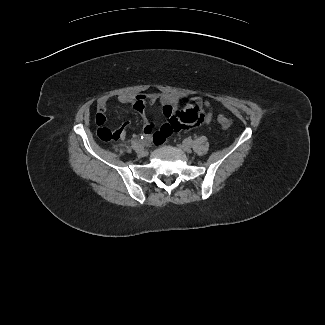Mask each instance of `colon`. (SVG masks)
I'll return each instance as SVG.
<instances>
[{
  "mask_svg": "<svg viewBox=\"0 0 325 325\" xmlns=\"http://www.w3.org/2000/svg\"><path fill=\"white\" fill-rule=\"evenodd\" d=\"M218 122L224 129H228L231 125V120L224 115L218 116ZM98 137L103 141H112L119 139V131L111 130L105 127H99L97 130Z\"/></svg>",
  "mask_w": 325,
  "mask_h": 325,
  "instance_id": "5ec220e1",
  "label": "colon"
}]
</instances>
